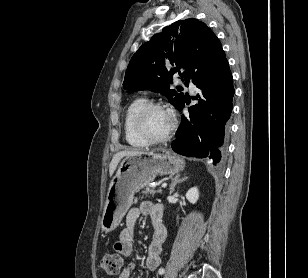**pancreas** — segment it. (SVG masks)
<instances>
[{"label": "pancreas", "mask_w": 308, "mask_h": 278, "mask_svg": "<svg viewBox=\"0 0 308 278\" xmlns=\"http://www.w3.org/2000/svg\"><path fill=\"white\" fill-rule=\"evenodd\" d=\"M161 190H155L152 187H146V189L144 191H142L143 195H147V194H152L154 195L155 193H161Z\"/></svg>", "instance_id": "1"}]
</instances>
